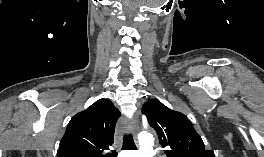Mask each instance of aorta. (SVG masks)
Instances as JSON below:
<instances>
[{
	"label": "aorta",
	"instance_id": "aorta-1",
	"mask_svg": "<svg viewBox=\"0 0 264 157\" xmlns=\"http://www.w3.org/2000/svg\"><path fill=\"white\" fill-rule=\"evenodd\" d=\"M141 148H151L153 146V136L150 133H142L138 137Z\"/></svg>",
	"mask_w": 264,
	"mask_h": 157
}]
</instances>
